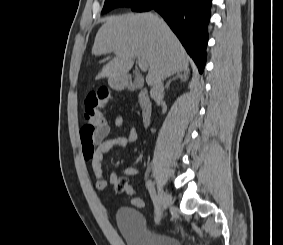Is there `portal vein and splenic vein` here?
I'll use <instances>...</instances> for the list:
<instances>
[{"mask_svg":"<svg viewBox=\"0 0 283 245\" xmlns=\"http://www.w3.org/2000/svg\"><path fill=\"white\" fill-rule=\"evenodd\" d=\"M137 64L142 71H146L148 69L147 63L143 60H138Z\"/></svg>","mask_w":283,"mask_h":245,"instance_id":"obj_1","label":"portal vein and splenic vein"}]
</instances>
